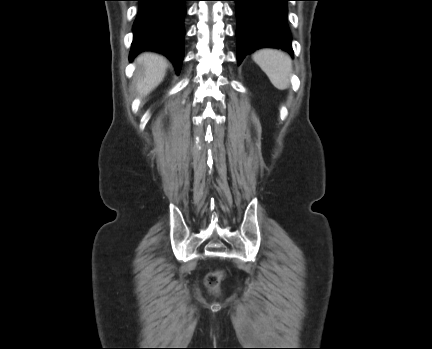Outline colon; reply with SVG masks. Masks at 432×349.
<instances>
[{
	"label": "colon",
	"mask_w": 432,
	"mask_h": 349,
	"mask_svg": "<svg viewBox=\"0 0 432 349\" xmlns=\"http://www.w3.org/2000/svg\"><path fill=\"white\" fill-rule=\"evenodd\" d=\"M221 278L222 274L220 272H212L207 275L206 284L211 288H215L218 286Z\"/></svg>",
	"instance_id": "5ec220e1"
}]
</instances>
